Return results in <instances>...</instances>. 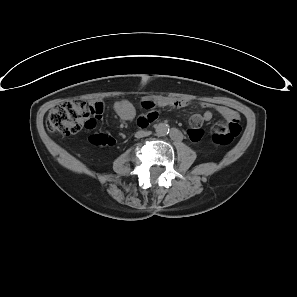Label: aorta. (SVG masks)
I'll list each match as a JSON object with an SVG mask.
<instances>
[{
  "label": "aorta",
  "mask_w": 297,
  "mask_h": 297,
  "mask_svg": "<svg viewBox=\"0 0 297 297\" xmlns=\"http://www.w3.org/2000/svg\"><path fill=\"white\" fill-rule=\"evenodd\" d=\"M155 131L160 136H165L169 133V125L166 123H159L155 127Z\"/></svg>",
  "instance_id": "aorta-1"
}]
</instances>
